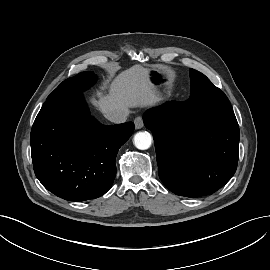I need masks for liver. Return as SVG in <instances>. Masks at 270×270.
I'll return each mask as SVG.
<instances>
[{"label":"liver","mask_w":270,"mask_h":270,"mask_svg":"<svg viewBox=\"0 0 270 270\" xmlns=\"http://www.w3.org/2000/svg\"><path fill=\"white\" fill-rule=\"evenodd\" d=\"M161 100L150 80L149 70L134 65L113 80L109 94L101 96L96 105L106 115L107 112L120 107H151Z\"/></svg>","instance_id":"liver-1"}]
</instances>
